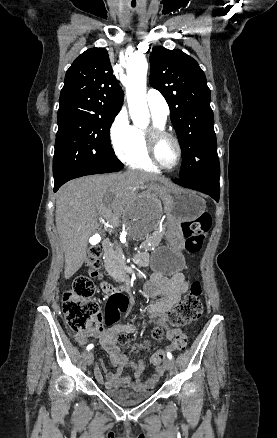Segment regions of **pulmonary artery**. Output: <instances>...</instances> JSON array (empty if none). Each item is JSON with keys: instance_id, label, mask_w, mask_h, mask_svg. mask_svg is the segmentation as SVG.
I'll return each instance as SVG.
<instances>
[{"instance_id": "pulmonary-artery-1", "label": "pulmonary artery", "mask_w": 277, "mask_h": 438, "mask_svg": "<svg viewBox=\"0 0 277 438\" xmlns=\"http://www.w3.org/2000/svg\"><path fill=\"white\" fill-rule=\"evenodd\" d=\"M163 93L164 90L162 87H155L153 94L147 95L144 103L153 118L166 121L170 114V109L168 103L162 96Z\"/></svg>"}]
</instances>
